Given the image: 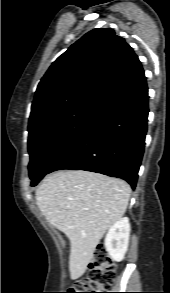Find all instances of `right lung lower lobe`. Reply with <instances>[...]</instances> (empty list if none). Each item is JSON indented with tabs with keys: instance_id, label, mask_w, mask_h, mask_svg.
I'll return each instance as SVG.
<instances>
[{
	"instance_id": "right-lung-lower-lobe-1",
	"label": "right lung lower lobe",
	"mask_w": 170,
	"mask_h": 293,
	"mask_svg": "<svg viewBox=\"0 0 170 293\" xmlns=\"http://www.w3.org/2000/svg\"><path fill=\"white\" fill-rule=\"evenodd\" d=\"M146 80L103 105L85 133L50 167L86 170L126 180L134 189L142 161L148 117Z\"/></svg>"
}]
</instances>
